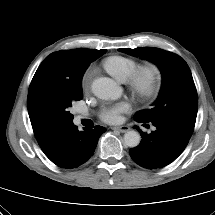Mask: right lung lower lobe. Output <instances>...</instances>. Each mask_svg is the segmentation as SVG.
Masks as SVG:
<instances>
[{"instance_id": "1", "label": "right lung lower lobe", "mask_w": 215, "mask_h": 215, "mask_svg": "<svg viewBox=\"0 0 215 215\" xmlns=\"http://www.w3.org/2000/svg\"><path fill=\"white\" fill-rule=\"evenodd\" d=\"M105 131L106 129L102 126H96L95 129L84 128L83 131H79L77 126L71 125L44 153L61 168H77L92 156L99 137Z\"/></svg>"}]
</instances>
